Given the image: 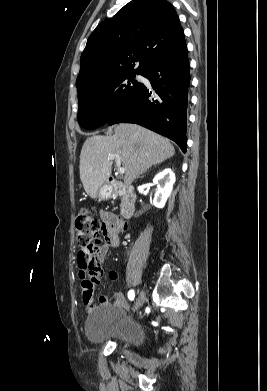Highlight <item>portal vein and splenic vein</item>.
<instances>
[{
    "label": "portal vein and splenic vein",
    "instance_id": "portal-vein-and-splenic-vein-1",
    "mask_svg": "<svg viewBox=\"0 0 267 391\" xmlns=\"http://www.w3.org/2000/svg\"><path fill=\"white\" fill-rule=\"evenodd\" d=\"M108 158L110 159V160H116V162H118V163H120L121 161H120V156L118 155V154H111V155H109L108 156ZM118 173L119 174H124L125 173V168L124 167H119L118 168Z\"/></svg>",
    "mask_w": 267,
    "mask_h": 391
}]
</instances>
